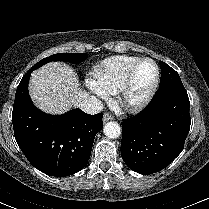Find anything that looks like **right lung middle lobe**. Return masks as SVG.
<instances>
[{
    "instance_id": "obj_1",
    "label": "right lung middle lobe",
    "mask_w": 209,
    "mask_h": 209,
    "mask_svg": "<svg viewBox=\"0 0 209 209\" xmlns=\"http://www.w3.org/2000/svg\"><path fill=\"white\" fill-rule=\"evenodd\" d=\"M85 59V53H58L42 59L37 64H35L30 70L34 71L35 69L41 67L42 65L50 61H66L70 63H79L84 61Z\"/></svg>"
}]
</instances>
